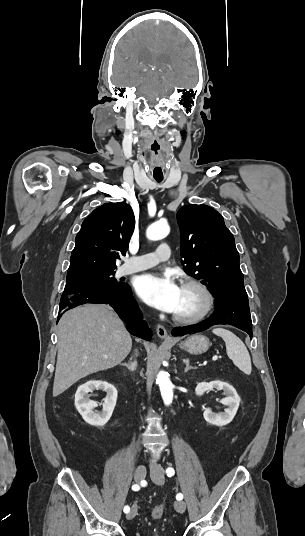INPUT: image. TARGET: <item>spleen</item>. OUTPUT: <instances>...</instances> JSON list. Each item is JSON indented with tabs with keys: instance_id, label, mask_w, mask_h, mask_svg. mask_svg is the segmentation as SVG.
Returning <instances> with one entry per match:
<instances>
[{
	"instance_id": "obj_1",
	"label": "spleen",
	"mask_w": 305,
	"mask_h": 536,
	"mask_svg": "<svg viewBox=\"0 0 305 536\" xmlns=\"http://www.w3.org/2000/svg\"><path fill=\"white\" fill-rule=\"evenodd\" d=\"M213 334L223 338L226 344L228 358L232 360L233 364H235L241 372L250 376L252 372L251 358L245 344L241 342L240 338H237V336L232 334V332H229V330H223V328H215Z\"/></svg>"
}]
</instances>
